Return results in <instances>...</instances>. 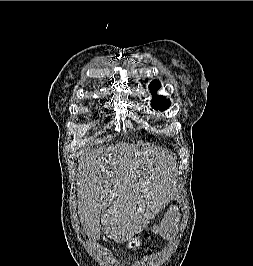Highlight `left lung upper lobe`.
Here are the masks:
<instances>
[{"instance_id": "left-lung-upper-lobe-1", "label": "left lung upper lobe", "mask_w": 253, "mask_h": 266, "mask_svg": "<svg viewBox=\"0 0 253 266\" xmlns=\"http://www.w3.org/2000/svg\"><path fill=\"white\" fill-rule=\"evenodd\" d=\"M161 87V84L158 80H154L150 83L149 85V89L150 92L153 94V99H152V104L151 106L155 109V110H160V111H164L166 109L169 108L170 106V101L167 100L164 96H158L157 90H159Z\"/></svg>"}]
</instances>
